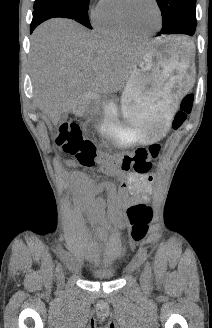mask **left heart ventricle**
I'll return each instance as SVG.
<instances>
[{
	"label": "left heart ventricle",
	"mask_w": 212,
	"mask_h": 328,
	"mask_svg": "<svg viewBox=\"0 0 212 328\" xmlns=\"http://www.w3.org/2000/svg\"><path fill=\"white\" fill-rule=\"evenodd\" d=\"M128 11L132 22L139 29L149 31L157 27L159 17L151 0H131Z\"/></svg>",
	"instance_id": "left-heart-ventricle-1"
}]
</instances>
